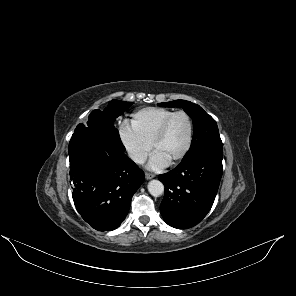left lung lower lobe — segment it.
<instances>
[{
  "mask_svg": "<svg viewBox=\"0 0 296 296\" xmlns=\"http://www.w3.org/2000/svg\"><path fill=\"white\" fill-rule=\"evenodd\" d=\"M223 148L201 151L159 175L165 186L160 205L164 221L178 229L198 224L210 211L222 177Z\"/></svg>",
  "mask_w": 296,
  "mask_h": 296,
  "instance_id": "0a47b994",
  "label": "left lung lower lobe"
}]
</instances>
